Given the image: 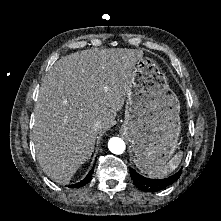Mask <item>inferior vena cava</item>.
<instances>
[{
	"mask_svg": "<svg viewBox=\"0 0 221 221\" xmlns=\"http://www.w3.org/2000/svg\"><path fill=\"white\" fill-rule=\"evenodd\" d=\"M102 127V123L100 121H97L94 123V130L98 131Z\"/></svg>",
	"mask_w": 221,
	"mask_h": 221,
	"instance_id": "obj_1",
	"label": "inferior vena cava"
}]
</instances>
